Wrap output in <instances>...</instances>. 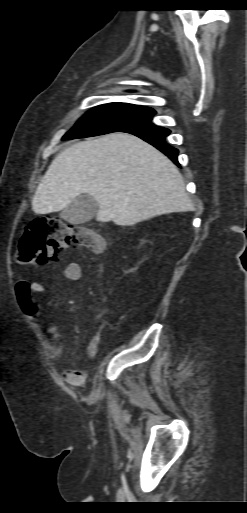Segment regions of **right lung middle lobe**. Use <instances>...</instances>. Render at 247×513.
Returning <instances> with one entry per match:
<instances>
[{
	"instance_id": "obj_1",
	"label": "right lung middle lobe",
	"mask_w": 247,
	"mask_h": 513,
	"mask_svg": "<svg viewBox=\"0 0 247 513\" xmlns=\"http://www.w3.org/2000/svg\"><path fill=\"white\" fill-rule=\"evenodd\" d=\"M156 112L149 107L110 103L89 110L62 140L121 131L127 126L151 121Z\"/></svg>"
}]
</instances>
